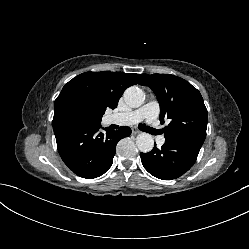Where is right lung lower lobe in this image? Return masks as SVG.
I'll list each match as a JSON object with an SVG mask.
<instances>
[{"mask_svg":"<svg viewBox=\"0 0 249 249\" xmlns=\"http://www.w3.org/2000/svg\"><path fill=\"white\" fill-rule=\"evenodd\" d=\"M57 148L64 163L78 176L92 179L103 175L112 165L116 144L131 134L127 126L119 130L101 125H82L66 120H53Z\"/></svg>","mask_w":249,"mask_h":249,"instance_id":"obj_1","label":"right lung lower lobe"}]
</instances>
